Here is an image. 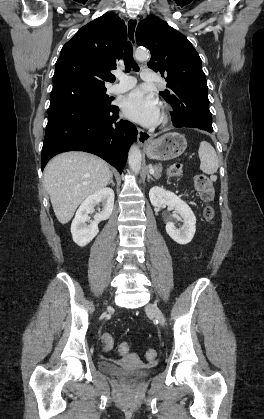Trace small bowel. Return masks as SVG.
Instances as JSON below:
<instances>
[{"instance_id":"obj_1","label":"small bowel","mask_w":264,"mask_h":419,"mask_svg":"<svg viewBox=\"0 0 264 419\" xmlns=\"http://www.w3.org/2000/svg\"><path fill=\"white\" fill-rule=\"evenodd\" d=\"M124 344H125V343H122V344L120 345V347H119V352H120V354H121V355H123V356H124V355H127V354L129 353V351H128V352H123L122 347L124 346Z\"/></svg>"}]
</instances>
